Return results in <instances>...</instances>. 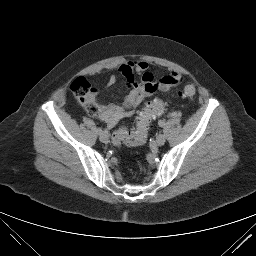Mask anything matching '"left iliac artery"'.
<instances>
[{
	"label": "left iliac artery",
	"mask_w": 256,
	"mask_h": 256,
	"mask_svg": "<svg viewBox=\"0 0 256 256\" xmlns=\"http://www.w3.org/2000/svg\"><path fill=\"white\" fill-rule=\"evenodd\" d=\"M158 124H159L160 127H163V126L165 125L164 121H162V120H160V121L158 122Z\"/></svg>",
	"instance_id": "obj_1"
}]
</instances>
